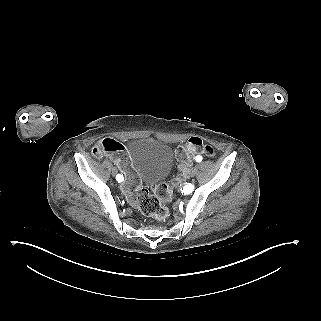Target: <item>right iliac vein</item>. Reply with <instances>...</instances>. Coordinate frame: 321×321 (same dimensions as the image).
Wrapping results in <instances>:
<instances>
[{"label":"right iliac vein","instance_id":"63e3f726","mask_svg":"<svg viewBox=\"0 0 321 321\" xmlns=\"http://www.w3.org/2000/svg\"><path fill=\"white\" fill-rule=\"evenodd\" d=\"M111 174H112V176H115L117 174V170L115 168H112Z\"/></svg>","mask_w":321,"mask_h":321}]
</instances>
